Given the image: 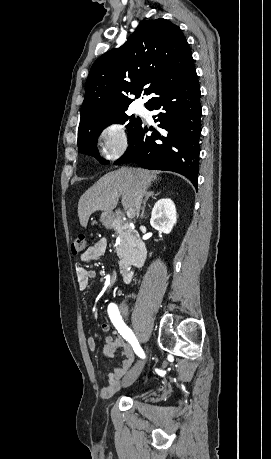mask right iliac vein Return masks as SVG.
I'll return each mask as SVG.
<instances>
[{
  "label": "right iliac vein",
  "mask_w": 271,
  "mask_h": 459,
  "mask_svg": "<svg viewBox=\"0 0 271 459\" xmlns=\"http://www.w3.org/2000/svg\"><path fill=\"white\" fill-rule=\"evenodd\" d=\"M145 365V361L141 360L135 364V366L126 374L125 378L122 380L123 386L127 387L133 384V382L138 378L141 373L142 368Z\"/></svg>",
  "instance_id": "63e3f726"
}]
</instances>
